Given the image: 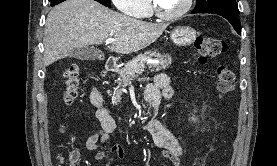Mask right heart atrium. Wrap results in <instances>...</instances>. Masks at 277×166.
<instances>
[{
    "mask_svg": "<svg viewBox=\"0 0 277 166\" xmlns=\"http://www.w3.org/2000/svg\"><path fill=\"white\" fill-rule=\"evenodd\" d=\"M111 2L120 12L130 16H138L148 4V0H111Z\"/></svg>",
    "mask_w": 277,
    "mask_h": 166,
    "instance_id": "right-heart-atrium-1",
    "label": "right heart atrium"
}]
</instances>
